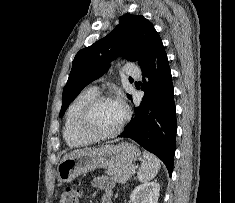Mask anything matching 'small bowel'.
<instances>
[{
    "label": "small bowel",
    "mask_w": 235,
    "mask_h": 203,
    "mask_svg": "<svg viewBox=\"0 0 235 203\" xmlns=\"http://www.w3.org/2000/svg\"><path fill=\"white\" fill-rule=\"evenodd\" d=\"M92 185L95 188H98L103 191L102 203H112L111 195H112L113 182L109 177L98 176L93 179Z\"/></svg>",
    "instance_id": "small-bowel-1"
}]
</instances>
